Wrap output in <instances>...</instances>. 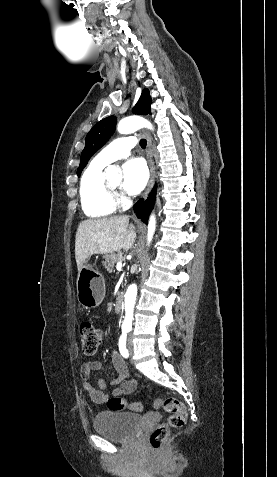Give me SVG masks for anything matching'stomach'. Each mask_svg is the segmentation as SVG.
I'll return each instance as SVG.
<instances>
[{
	"label": "stomach",
	"instance_id": "0dacf381",
	"mask_svg": "<svg viewBox=\"0 0 277 477\" xmlns=\"http://www.w3.org/2000/svg\"><path fill=\"white\" fill-rule=\"evenodd\" d=\"M77 299L84 308H95L105 297V281L102 275L85 261L76 280Z\"/></svg>",
	"mask_w": 277,
	"mask_h": 477
}]
</instances>
